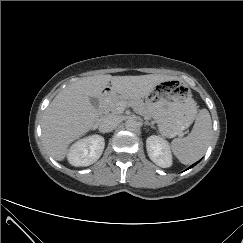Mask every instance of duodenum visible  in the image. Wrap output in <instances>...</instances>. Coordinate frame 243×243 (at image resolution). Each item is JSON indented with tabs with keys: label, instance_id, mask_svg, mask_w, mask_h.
Segmentation results:
<instances>
[{
	"label": "duodenum",
	"instance_id": "1",
	"mask_svg": "<svg viewBox=\"0 0 243 243\" xmlns=\"http://www.w3.org/2000/svg\"><path fill=\"white\" fill-rule=\"evenodd\" d=\"M112 91L111 89H105L100 97V107H99V114L103 115L105 113L106 107L108 105V102L111 98Z\"/></svg>",
	"mask_w": 243,
	"mask_h": 243
}]
</instances>
